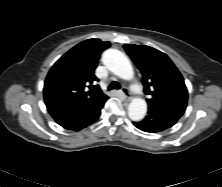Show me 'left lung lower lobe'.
<instances>
[{"label": "left lung lower lobe", "instance_id": "obj_1", "mask_svg": "<svg viewBox=\"0 0 222 187\" xmlns=\"http://www.w3.org/2000/svg\"><path fill=\"white\" fill-rule=\"evenodd\" d=\"M186 106L180 104H157L148 107V115L133 124L140 130L157 133L173 126L185 112Z\"/></svg>", "mask_w": 222, "mask_h": 187}]
</instances>
